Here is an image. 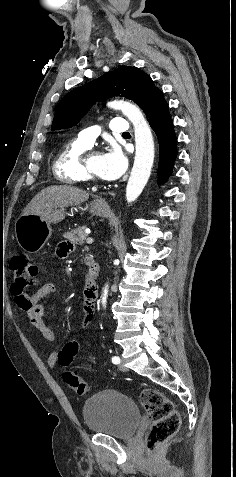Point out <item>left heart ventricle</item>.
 <instances>
[{"label":"left heart ventricle","instance_id":"b2bd125f","mask_svg":"<svg viewBox=\"0 0 236 477\" xmlns=\"http://www.w3.org/2000/svg\"><path fill=\"white\" fill-rule=\"evenodd\" d=\"M87 163L91 171L99 177L105 178L102 170V157L101 155H90L87 159Z\"/></svg>","mask_w":236,"mask_h":477}]
</instances>
